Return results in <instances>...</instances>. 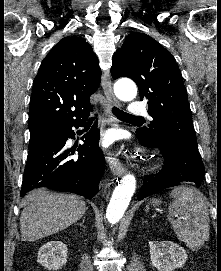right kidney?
<instances>
[{
    "instance_id": "obj_1",
    "label": "right kidney",
    "mask_w": 221,
    "mask_h": 271,
    "mask_svg": "<svg viewBox=\"0 0 221 271\" xmlns=\"http://www.w3.org/2000/svg\"><path fill=\"white\" fill-rule=\"evenodd\" d=\"M68 247L63 241H47L39 247L37 261L46 269H62L67 261Z\"/></svg>"
}]
</instances>
